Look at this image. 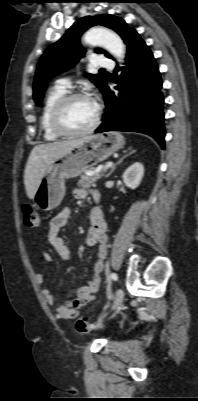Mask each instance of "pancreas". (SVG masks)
Masks as SVG:
<instances>
[{
    "label": "pancreas",
    "mask_w": 198,
    "mask_h": 401,
    "mask_svg": "<svg viewBox=\"0 0 198 401\" xmlns=\"http://www.w3.org/2000/svg\"><path fill=\"white\" fill-rule=\"evenodd\" d=\"M103 172H105V167L103 166L100 172H97L92 175H83L78 181L77 185L80 188H89L95 185V182L103 176Z\"/></svg>",
    "instance_id": "pancreas-1"
}]
</instances>
